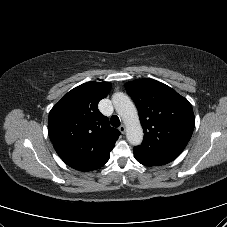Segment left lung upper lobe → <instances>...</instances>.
<instances>
[{
  "instance_id": "1",
  "label": "left lung upper lobe",
  "mask_w": 227,
  "mask_h": 227,
  "mask_svg": "<svg viewBox=\"0 0 227 227\" xmlns=\"http://www.w3.org/2000/svg\"><path fill=\"white\" fill-rule=\"evenodd\" d=\"M137 107L144 130L141 150L177 158L186 147L195 126L191 104L169 86L154 79L125 84Z\"/></svg>"
}]
</instances>
